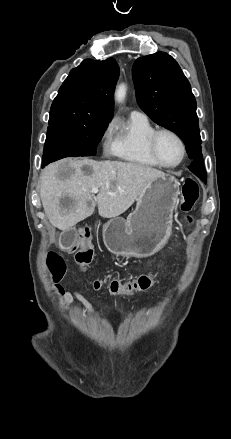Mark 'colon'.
<instances>
[{"mask_svg":"<svg viewBox=\"0 0 231 439\" xmlns=\"http://www.w3.org/2000/svg\"><path fill=\"white\" fill-rule=\"evenodd\" d=\"M198 186L192 179H187L182 188V196L180 199L181 211L189 212L198 199ZM186 223H190L188 217L185 218ZM75 252V261L78 266L84 270L92 262L94 258V249L90 243V231L88 228L79 232L75 244L72 246ZM46 263L50 272L51 279L60 290L58 283L64 277L66 265L63 258L55 253L47 256ZM151 270H144L142 276L130 281L122 282L117 279L109 281L96 280L94 282L95 289H106L111 295H132L138 291H143L151 286L153 279Z\"/></svg>","mask_w":231,"mask_h":439,"instance_id":"5ec220e1","label":"colon"}]
</instances>
